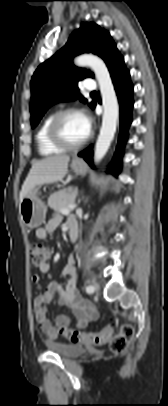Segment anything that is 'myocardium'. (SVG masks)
I'll return each mask as SVG.
<instances>
[{
	"label": "myocardium",
	"instance_id": "myocardium-1",
	"mask_svg": "<svg viewBox=\"0 0 168 406\" xmlns=\"http://www.w3.org/2000/svg\"><path fill=\"white\" fill-rule=\"evenodd\" d=\"M78 113L81 114V111L74 107H69L58 111L53 115L49 127H48V138L56 146L63 149H77L82 147L89 139L90 135L88 134L83 140L75 143L66 141L60 131V124L62 120L69 114Z\"/></svg>",
	"mask_w": 168,
	"mask_h": 406
}]
</instances>
